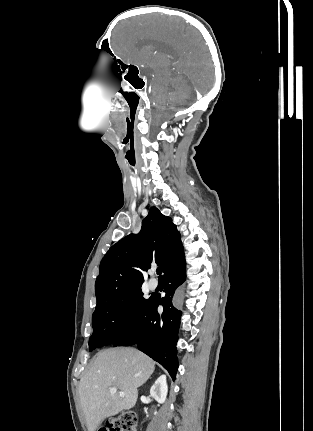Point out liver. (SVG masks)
Listing matches in <instances>:
<instances>
[{"label":"liver","mask_w":313,"mask_h":431,"mask_svg":"<svg viewBox=\"0 0 313 431\" xmlns=\"http://www.w3.org/2000/svg\"><path fill=\"white\" fill-rule=\"evenodd\" d=\"M155 369L154 361L133 348H110L98 352L79 382V398L88 431H95L106 418L133 408L142 386ZM115 387L124 392L111 394Z\"/></svg>","instance_id":"6515ba94"}]
</instances>
